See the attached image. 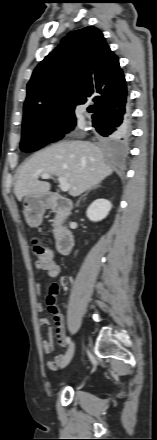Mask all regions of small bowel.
<instances>
[{"instance_id":"c3829d8e","label":"small bowel","mask_w":157,"mask_h":440,"mask_svg":"<svg viewBox=\"0 0 157 440\" xmlns=\"http://www.w3.org/2000/svg\"><path fill=\"white\" fill-rule=\"evenodd\" d=\"M36 269L46 273V275L51 276V277L57 276L59 274V267L57 266V264L53 260H51L48 264H45V265H36ZM36 288L38 291L40 290V281L36 282ZM48 305H49V311L54 315V321H55V325H56L55 333H56L57 343L59 346L65 347L66 346V338H65L64 317L58 311L56 306H51L50 304H48ZM36 309L39 313H41L43 311V305L41 303H38L36 305ZM39 324H40V326H46L48 328V339L43 340L41 342V346H42V349L45 353H50L53 348L52 328H51L50 321L45 317H41L39 319ZM64 358H65V355H63V354H58V355L54 356L50 361L47 362V367L50 370H56Z\"/></svg>"}]
</instances>
